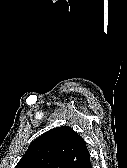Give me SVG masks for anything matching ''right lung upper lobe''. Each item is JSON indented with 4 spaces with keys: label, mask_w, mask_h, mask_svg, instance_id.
Instances as JSON below:
<instances>
[{
    "label": "right lung upper lobe",
    "mask_w": 127,
    "mask_h": 168,
    "mask_svg": "<svg viewBox=\"0 0 127 168\" xmlns=\"http://www.w3.org/2000/svg\"><path fill=\"white\" fill-rule=\"evenodd\" d=\"M88 159L86 142L71 127L62 126L36 138L15 168H76Z\"/></svg>",
    "instance_id": "cb5924a9"
}]
</instances>
